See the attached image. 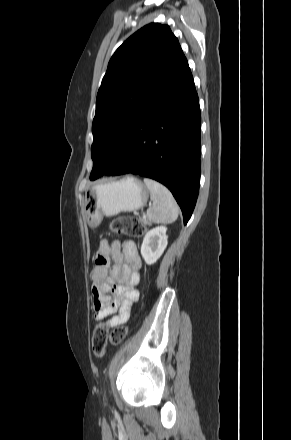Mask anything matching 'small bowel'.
<instances>
[{"label": "small bowel", "instance_id": "obj_1", "mask_svg": "<svg viewBox=\"0 0 291 440\" xmlns=\"http://www.w3.org/2000/svg\"><path fill=\"white\" fill-rule=\"evenodd\" d=\"M139 268L140 258L134 241L127 240L122 246L107 240L99 243L90 276L96 320L117 313L107 322L109 327H115L129 319L132 306L139 299Z\"/></svg>", "mask_w": 291, "mask_h": 440}]
</instances>
